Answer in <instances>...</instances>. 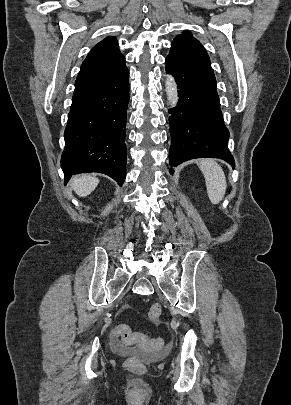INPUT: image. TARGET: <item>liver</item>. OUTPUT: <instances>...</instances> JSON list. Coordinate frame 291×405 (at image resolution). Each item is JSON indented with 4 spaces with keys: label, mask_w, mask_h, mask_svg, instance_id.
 Instances as JSON below:
<instances>
[{
    "label": "liver",
    "mask_w": 291,
    "mask_h": 405,
    "mask_svg": "<svg viewBox=\"0 0 291 405\" xmlns=\"http://www.w3.org/2000/svg\"><path fill=\"white\" fill-rule=\"evenodd\" d=\"M99 184V179L92 177L90 175H80L72 179L71 185L73 190L80 197H85L91 194L97 185Z\"/></svg>",
    "instance_id": "liver-1"
}]
</instances>
